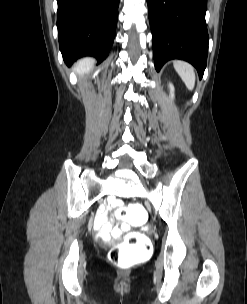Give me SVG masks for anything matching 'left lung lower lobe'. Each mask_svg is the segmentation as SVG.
Segmentation results:
<instances>
[{
	"label": "left lung lower lobe",
	"mask_w": 247,
	"mask_h": 304,
	"mask_svg": "<svg viewBox=\"0 0 247 304\" xmlns=\"http://www.w3.org/2000/svg\"><path fill=\"white\" fill-rule=\"evenodd\" d=\"M157 71L168 60L191 63L201 79L208 55L207 0H147Z\"/></svg>",
	"instance_id": "left-lung-lower-lobe-1"
}]
</instances>
